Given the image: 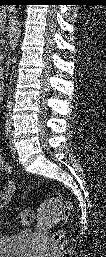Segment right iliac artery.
<instances>
[{
	"mask_svg": "<svg viewBox=\"0 0 106 257\" xmlns=\"http://www.w3.org/2000/svg\"><path fill=\"white\" fill-rule=\"evenodd\" d=\"M5 136L7 137V138H9L10 137V129H6L5 130Z\"/></svg>",
	"mask_w": 106,
	"mask_h": 257,
	"instance_id": "right-iliac-artery-1",
	"label": "right iliac artery"
}]
</instances>
